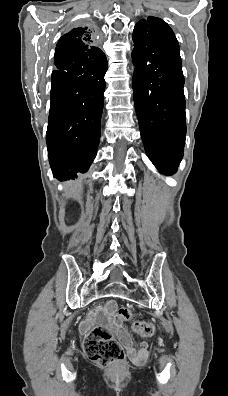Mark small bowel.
Segmentation results:
<instances>
[{"label": "small bowel", "instance_id": "c3829d8e", "mask_svg": "<svg viewBox=\"0 0 228 396\" xmlns=\"http://www.w3.org/2000/svg\"><path fill=\"white\" fill-rule=\"evenodd\" d=\"M114 308V302H108L104 310V318L106 319L108 325L114 329L118 338L124 344L130 360L134 364H143L148 355L147 342L142 341L140 343L139 349L134 348L131 338L127 331L122 327L121 319L115 314Z\"/></svg>", "mask_w": 228, "mask_h": 396}]
</instances>
